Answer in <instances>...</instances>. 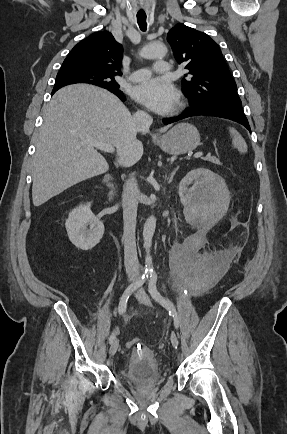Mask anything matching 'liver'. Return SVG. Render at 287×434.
I'll return each instance as SVG.
<instances>
[{
    "label": "liver",
    "mask_w": 287,
    "mask_h": 434,
    "mask_svg": "<svg viewBox=\"0 0 287 434\" xmlns=\"http://www.w3.org/2000/svg\"><path fill=\"white\" fill-rule=\"evenodd\" d=\"M43 118L34 156L32 199L36 207L109 170L92 141L115 147L117 163L128 167L143 155L137 133L149 131L137 125L114 94L85 84L58 90L45 107Z\"/></svg>",
    "instance_id": "obj_1"
}]
</instances>
